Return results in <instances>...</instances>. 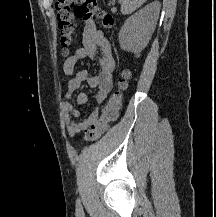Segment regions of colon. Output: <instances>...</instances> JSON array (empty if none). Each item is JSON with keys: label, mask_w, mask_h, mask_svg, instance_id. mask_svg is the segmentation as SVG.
<instances>
[{"label": "colon", "mask_w": 216, "mask_h": 217, "mask_svg": "<svg viewBox=\"0 0 216 217\" xmlns=\"http://www.w3.org/2000/svg\"><path fill=\"white\" fill-rule=\"evenodd\" d=\"M57 24L60 32V45L64 55L69 53L74 43L75 18L89 20L96 18L102 27L112 28L114 18L110 13L97 8V0H57ZM130 73L125 70L121 74L117 89L110 96L107 104L103 107L100 117L91 124L85 134L86 141H95L100 138L109 128L111 122L118 116L121 106L122 92L127 87Z\"/></svg>", "instance_id": "colon-1"}]
</instances>
